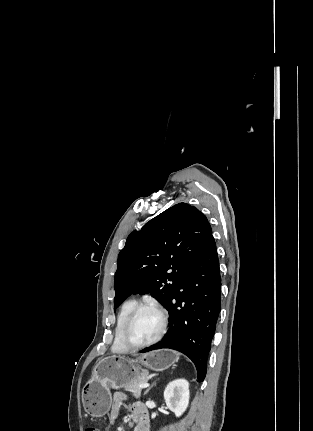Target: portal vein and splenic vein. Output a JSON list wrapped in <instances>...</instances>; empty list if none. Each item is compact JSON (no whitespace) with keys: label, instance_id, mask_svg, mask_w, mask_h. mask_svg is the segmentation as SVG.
<instances>
[{"label":"portal vein and splenic vein","instance_id":"portal-vein-and-splenic-vein-1","mask_svg":"<svg viewBox=\"0 0 313 431\" xmlns=\"http://www.w3.org/2000/svg\"><path fill=\"white\" fill-rule=\"evenodd\" d=\"M149 385H148V383L147 382H143V383H140L139 385H138V387L139 388H146V387H148Z\"/></svg>","mask_w":313,"mask_h":431}]
</instances>
